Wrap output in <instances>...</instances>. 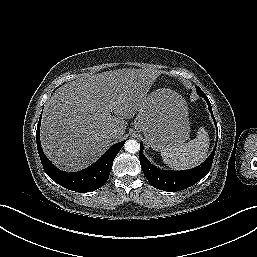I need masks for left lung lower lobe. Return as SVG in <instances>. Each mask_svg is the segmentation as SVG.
Instances as JSON below:
<instances>
[{
    "label": "left lung lower lobe",
    "instance_id": "0a47b994",
    "mask_svg": "<svg viewBox=\"0 0 257 257\" xmlns=\"http://www.w3.org/2000/svg\"><path fill=\"white\" fill-rule=\"evenodd\" d=\"M197 93L203 97L210 110L212 118L217 127L211 104L205 93L197 86ZM218 131V129H217ZM215 149L212 151L210 156L199 166L192 168L190 170L184 171H164L155 166H153L143 155V144L140 143V163L142 170L148 180V182L155 188L160 190H166L169 192H176L184 190L193 184L200 181L204 176H206L211 169L212 162L214 159Z\"/></svg>",
    "mask_w": 257,
    "mask_h": 257
}]
</instances>
